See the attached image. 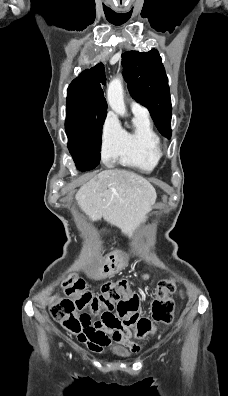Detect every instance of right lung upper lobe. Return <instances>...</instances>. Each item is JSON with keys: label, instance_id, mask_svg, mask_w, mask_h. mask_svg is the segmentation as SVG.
Masks as SVG:
<instances>
[{"label": "right lung upper lobe", "instance_id": "1", "mask_svg": "<svg viewBox=\"0 0 228 396\" xmlns=\"http://www.w3.org/2000/svg\"><path fill=\"white\" fill-rule=\"evenodd\" d=\"M106 84L102 63L83 71L68 87L67 104L83 113L92 114L107 110L101 85Z\"/></svg>", "mask_w": 228, "mask_h": 396}]
</instances>
